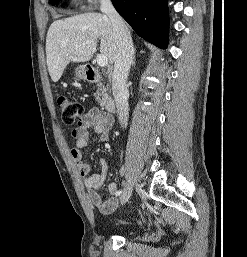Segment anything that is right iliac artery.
<instances>
[{
    "mask_svg": "<svg viewBox=\"0 0 247 257\" xmlns=\"http://www.w3.org/2000/svg\"><path fill=\"white\" fill-rule=\"evenodd\" d=\"M122 193V191L121 190H119L118 192H117V195H120Z\"/></svg>",
    "mask_w": 247,
    "mask_h": 257,
    "instance_id": "right-iliac-artery-1",
    "label": "right iliac artery"
}]
</instances>
